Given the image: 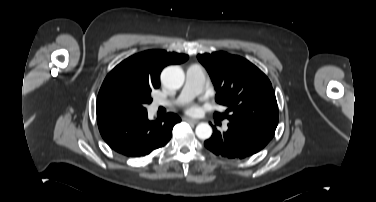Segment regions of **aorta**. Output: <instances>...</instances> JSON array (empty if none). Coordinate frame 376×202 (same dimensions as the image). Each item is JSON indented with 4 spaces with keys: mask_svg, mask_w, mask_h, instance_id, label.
Returning a JSON list of instances; mask_svg holds the SVG:
<instances>
[{
    "mask_svg": "<svg viewBox=\"0 0 376 202\" xmlns=\"http://www.w3.org/2000/svg\"><path fill=\"white\" fill-rule=\"evenodd\" d=\"M185 79V74L179 66H169L161 74L163 84L169 89H179ZM196 135L201 140H206L212 135V128L208 123H200L196 127Z\"/></svg>",
    "mask_w": 376,
    "mask_h": 202,
    "instance_id": "aorta-1",
    "label": "aorta"
}]
</instances>
